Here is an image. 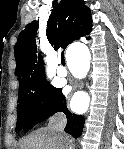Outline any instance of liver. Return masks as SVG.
<instances>
[{
  "label": "liver",
  "instance_id": "1",
  "mask_svg": "<svg viewBox=\"0 0 124 149\" xmlns=\"http://www.w3.org/2000/svg\"><path fill=\"white\" fill-rule=\"evenodd\" d=\"M70 139V138H69ZM63 139L56 137L51 127L41 128L28 135L22 142V149H63Z\"/></svg>",
  "mask_w": 124,
  "mask_h": 149
}]
</instances>
